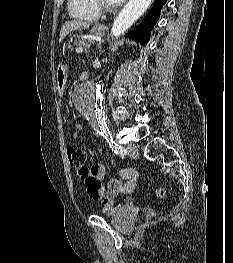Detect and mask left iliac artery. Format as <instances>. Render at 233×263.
<instances>
[{
    "mask_svg": "<svg viewBox=\"0 0 233 263\" xmlns=\"http://www.w3.org/2000/svg\"><path fill=\"white\" fill-rule=\"evenodd\" d=\"M104 135L105 140L109 144V147L114 151V153L119 154V155H124L127 153V150L122 147L121 145L117 144L114 140L113 137L110 133V131H104V133H101Z\"/></svg>",
    "mask_w": 233,
    "mask_h": 263,
    "instance_id": "left-iliac-artery-1",
    "label": "left iliac artery"
}]
</instances>
